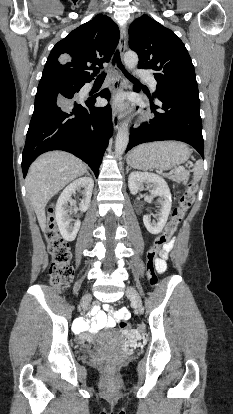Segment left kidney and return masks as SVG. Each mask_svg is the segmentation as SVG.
I'll list each match as a JSON object with an SVG mask.
<instances>
[{
  "label": "left kidney",
  "instance_id": "5707ae66",
  "mask_svg": "<svg viewBox=\"0 0 233 414\" xmlns=\"http://www.w3.org/2000/svg\"><path fill=\"white\" fill-rule=\"evenodd\" d=\"M144 183L152 188L150 191L152 195L159 196L160 212L158 213L157 222L151 223L148 215L143 216V222L151 234H159L163 230L171 210L172 199L170 189L166 181L156 174L136 171L130 173L128 187L131 194H137L142 189Z\"/></svg>",
  "mask_w": 233,
  "mask_h": 414
}]
</instances>
